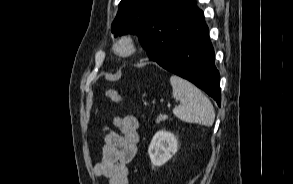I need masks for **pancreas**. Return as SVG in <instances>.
Returning a JSON list of instances; mask_svg holds the SVG:
<instances>
[{"instance_id":"obj_1","label":"pancreas","mask_w":293,"mask_h":184,"mask_svg":"<svg viewBox=\"0 0 293 184\" xmlns=\"http://www.w3.org/2000/svg\"><path fill=\"white\" fill-rule=\"evenodd\" d=\"M167 118H168L167 115H162V114H160V115L156 118V123L159 124V123H161L162 121H165Z\"/></svg>"}]
</instances>
